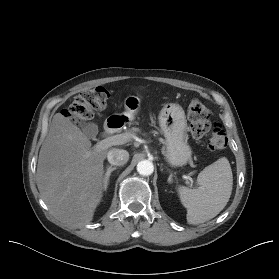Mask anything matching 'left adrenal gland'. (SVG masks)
<instances>
[{
  "label": "left adrenal gland",
  "mask_w": 279,
  "mask_h": 279,
  "mask_svg": "<svg viewBox=\"0 0 279 279\" xmlns=\"http://www.w3.org/2000/svg\"><path fill=\"white\" fill-rule=\"evenodd\" d=\"M173 181V174L170 173L169 177H168V182L171 183Z\"/></svg>",
  "instance_id": "obj_1"
}]
</instances>
